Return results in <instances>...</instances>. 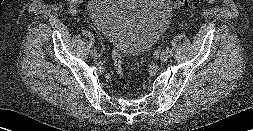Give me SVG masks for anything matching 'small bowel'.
Listing matches in <instances>:
<instances>
[{"label": "small bowel", "instance_id": "obj_1", "mask_svg": "<svg viewBox=\"0 0 253 131\" xmlns=\"http://www.w3.org/2000/svg\"><path fill=\"white\" fill-rule=\"evenodd\" d=\"M67 1L70 5L71 10L74 11L77 5L80 4L83 0H67Z\"/></svg>", "mask_w": 253, "mask_h": 131}]
</instances>
